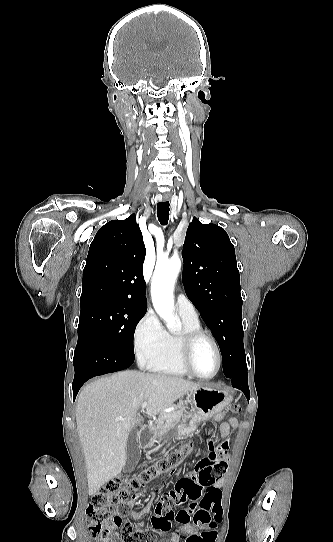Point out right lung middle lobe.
<instances>
[{"instance_id": "1", "label": "right lung middle lobe", "mask_w": 333, "mask_h": 542, "mask_svg": "<svg viewBox=\"0 0 333 542\" xmlns=\"http://www.w3.org/2000/svg\"><path fill=\"white\" fill-rule=\"evenodd\" d=\"M146 310L99 301L81 305L78 337L85 333L97 334L121 354L135 358L134 332Z\"/></svg>"}]
</instances>
